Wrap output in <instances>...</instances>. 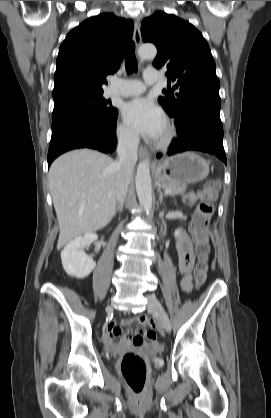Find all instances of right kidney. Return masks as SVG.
Instances as JSON below:
<instances>
[{
  "label": "right kidney",
  "mask_w": 271,
  "mask_h": 418,
  "mask_svg": "<svg viewBox=\"0 0 271 418\" xmlns=\"http://www.w3.org/2000/svg\"><path fill=\"white\" fill-rule=\"evenodd\" d=\"M98 235L86 233L70 241L61 252L62 265L66 273L76 278L87 277L95 268L96 263L88 257L83 249L86 245L96 242Z\"/></svg>",
  "instance_id": "ca27d5eb"
}]
</instances>
